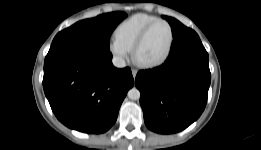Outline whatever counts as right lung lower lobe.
Returning <instances> with one entry per match:
<instances>
[{
  "instance_id": "obj_1",
  "label": "right lung lower lobe",
  "mask_w": 261,
  "mask_h": 150,
  "mask_svg": "<svg viewBox=\"0 0 261 150\" xmlns=\"http://www.w3.org/2000/svg\"><path fill=\"white\" fill-rule=\"evenodd\" d=\"M110 51L83 47L49 50L43 88L56 117L84 133L106 132L116 121L127 91L130 68L113 66Z\"/></svg>"
}]
</instances>
